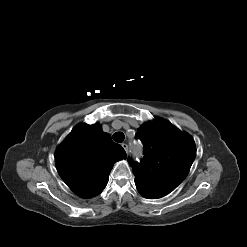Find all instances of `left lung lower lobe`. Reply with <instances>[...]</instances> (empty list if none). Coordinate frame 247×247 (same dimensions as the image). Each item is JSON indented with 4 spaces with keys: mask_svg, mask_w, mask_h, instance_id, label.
I'll use <instances>...</instances> for the list:
<instances>
[{
    "mask_svg": "<svg viewBox=\"0 0 247 247\" xmlns=\"http://www.w3.org/2000/svg\"><path fill=\"white\" fill-rule=\"evenodd\" d=\"M142 196H144V195H142ZM145 198H148V199H152V198H149V197H147V196H144Z\"/></svg>",
    "mask_w": 247,
    "mask_h": 247,
    "instance_id": "0a47b994",
    "label": "left lung lower lobe"
}]
</instances>
